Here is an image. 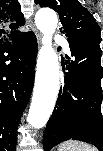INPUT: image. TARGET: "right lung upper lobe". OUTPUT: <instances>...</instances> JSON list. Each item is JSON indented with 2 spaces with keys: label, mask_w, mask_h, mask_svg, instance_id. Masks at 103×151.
<instances>
[{
  "label": "right lung upper lobe",
  "mask_w": 103,
  "mask_h": 151,
  "mask_svg": "<svg viewBox=\"0 0 103 151\" xmlns=\"http://www.w3.org/2000/svg\"><path fill=\"white\" fill-rule=\"evenodd\" d=\"M24 24L20 5L15 0H0V44L17 39L21 34L18 26Z\"/></svg>",
  "instance_id": "right-lung-upper-lobe-1"
}]
</instances>
